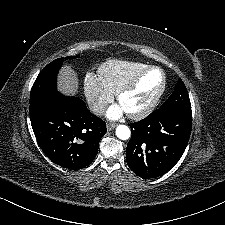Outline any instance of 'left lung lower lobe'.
I'll list each match as a JSON object with an SVG mask.
<instances>
[{
    "instance_id": "obj_1",
    "label": "left lung lower lobe",
    "mask_w": 225,
    "mask_h": 225,
    "mask_svg": "<svg viewBox=\"0 0 225 225\" xmlns=\"http://www.w3.org/2000/svg\"><path fill=\"white\" fill-rule=\"evenodd\" d=\"M129 126V168L141 178H156L171 170L183 155L191 133V108L157 109Z\"/></svg>"
}]
</instances>
